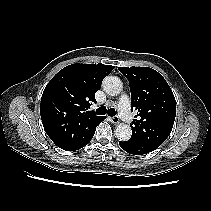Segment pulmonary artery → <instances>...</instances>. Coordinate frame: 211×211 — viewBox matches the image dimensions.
<instances>
[{"label":"pulmonary artery","mask_w":211,"mask_h":211,"mask_svg":"<svg viewBox=\"0 0 211 211\" xmlns=\"http://www.w3.org/2000/svg\"><path fill=\"white\" fill-rule=\"evenodd\" d=\"M119 116L128 124L133 122V116L130 112L129 98L126 95L120 97L118 103Z\"/></svg>","instance_id":"obj_1"}]
</instances>
